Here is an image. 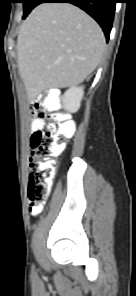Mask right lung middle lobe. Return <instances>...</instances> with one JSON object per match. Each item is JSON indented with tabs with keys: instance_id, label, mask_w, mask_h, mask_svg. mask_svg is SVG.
Wrapping results in <instances>:
<instances>
[{
	"instance_id": "obj_1",
	"label": "right lung middle lobe",
	"mask_w": 136,
	"mask_h": 296,
	"mask_svg": "<svg viewBox=\"0 0 136 296\" xmlns=\"http://www.w3.org/2000/svg\"><path fill=\"white\" fill-rule=\"evenodd\" d=\"M38 1L39 0H22L24 9L23 19H25L30 11L38 5Z\"/></svg>"
}]
</instances>
